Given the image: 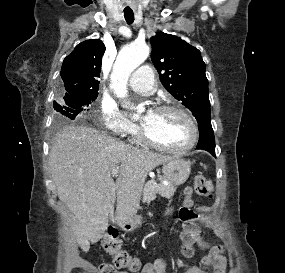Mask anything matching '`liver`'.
Returning a JSON list of instances; mask_svg holds the SVG:
<instances>
[{
    "mask_svg": "<svg viewBox=\"0 0 285 273\" xmlns=\"http://www.w3.org/2000/svg\"><path fill=\"white\" fill-rule=\"evenodd\" d=\"M49 157L58 197L75 216L73 230L84 252L108 228L116 198L117 220L136 219L148 173L172 159L75 125L56 134ZM115 168L120 169L116 182L111 175Z\"/></svg>",
    "mask_w": 285,
    "mask_h": 273,
    "instance_id": "1",
    "label": "liver"
}]
</instances>
